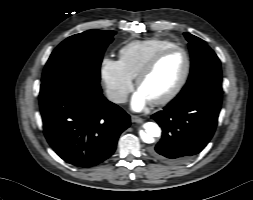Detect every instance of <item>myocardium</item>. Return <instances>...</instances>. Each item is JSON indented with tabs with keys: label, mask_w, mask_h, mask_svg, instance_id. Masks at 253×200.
I'll return each instance as SVG.
<instances>
[{
	"label": "myocardium",
	"mask_w": 253,
	"mask_h": 200,
	"mask_svg": "<svg viewBox=\"0 0 253 200\" xmlns=\"http://www.w3.org/2000/svg\"><path fill=\"white\" fill-rule=\"evenodd\" d=\"M181 52L184 56H185V60H186V68L184 71V74L181 78V80L179 81V83L176 85V87L169 93L167 94L165 97L153 101L151 102V104L153 106H163L166 105L168 103H170L172 100H174L179 94L180 92L183 90V88L185 87L190 73H191V67H192V63H191V58L190 55L188 53V51L180 46H173L167 49H164L162 51H160L159 53H157L136 75L135 77V85L138 88L140 83L150 74L153 72V70L157 67V65L161 62V60L166 57L167 55L173 53V52Z\"/></svg>",
	"instance_id": "f54148a6"
}]
</instances>
